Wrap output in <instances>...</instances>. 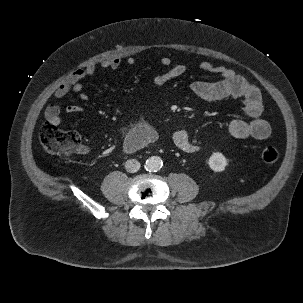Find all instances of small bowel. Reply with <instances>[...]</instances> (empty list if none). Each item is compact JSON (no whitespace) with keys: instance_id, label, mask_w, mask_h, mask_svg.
I'll return each mask as SVG.
<instances>
[{"instance_id":"small-bowel-1","label":"small bowel","mask_w":303,"mask_h":303,"mask_svg":"<svg viewBox=\"0 0 303 303\" xmlns=\"http://www.w3.org/2000/svg\"><path fill=\"white\" fill-rule=\"evenodd\" d=\"M125 63L133 66L135 59L129 57L125 60ZM160 63L165 70L152 80V87L154 89H159L169 81L181 77L188 70L185 64H173L171 58L168 56L162 57ZM122 64L123 60L120 57H114L102 61L101 67L103 69L116 70L120 68ZM200 69L206 72L216 73L220 75L221 78L217 81L193 82L190 85V90L197 98L210 102L226 98H241L243 100L246 119L232 120L227 127L225 137L233 139H266L270 135L271 128L269 123L262 118L263 103L259 89L248 79L225 66L215 65L212 62L205 61L200 64ZM95 71L96 66L89 64L84 68L71 72L55 89L53 96L56 99H60L66 96L70 91H73L81 100L87 101L89 95L84 92L82 81L92 76ZM66 112L79 114L83 113L84 109L79 105L70 104L66 107ZM44 115L46 121L52 125L58 126L61 123V108L58 104H50L47 106ZM172 139L175 146L184 152H195L200 149V144L194 141L190 133L185 129L175 131Z\"/></svg>"}]
</instances>
